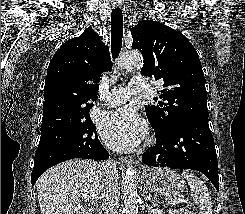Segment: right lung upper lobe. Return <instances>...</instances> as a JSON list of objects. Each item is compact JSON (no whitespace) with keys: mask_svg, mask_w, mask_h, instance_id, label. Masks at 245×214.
<instances>
[{"mask_svg":"<svg viewBox=\"0 0 245 214\" xmlns=\"http://www.w3.org/2000/svg\"><path fill=\"white\" fill-rule=\"evenodd\" d=\"M111 68L109 48L91 27L62 44L48 66L41 130L89 114L101 74Z\"/></svg>","mask_w":245,"mask_h":214,"instance_id":"right-lung-upper-lobe-1","label":"right lung upper lobe"}]
</instances>
